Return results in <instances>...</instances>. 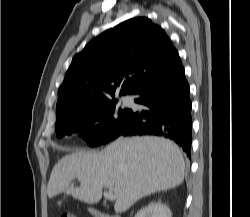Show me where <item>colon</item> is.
Wrapping results in <instances>:
<instances>
[{
  "mask_svg": "<svg viewBox=\"0 0 250 217\" xmlns=\"http://www.w3.org/2000/svg\"><path fill=\"white\" fill-rule=\"evenodd\" d=\"M61 217H76V215L72 212H64Z\"/></svg>",
  "mask_w": 250,
  "mask_h": 217,
  "instance_id": "colon-1",
  "label": "colon"
}]
</instances>
